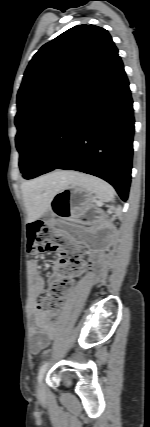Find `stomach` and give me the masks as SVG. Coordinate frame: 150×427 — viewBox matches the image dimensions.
I'll return each instance as SVG.
<instances>
[{
	"instance_id": "1",
	"label": "stomach",
	"mask_w": 150,
	"mask_h": 427,
	"mask_svg": "<svg viewBox=\"0 0 150 427\" xmlns=\"http://www.w3.org/2000/svg\"><path fill=\"white\" fill-rule=\"evenodd\" d=\"M92 194L81 185L72 182L54 195L50 209L61 219L77 221L91 207Z\"/></svg>"
}]
</instances>
